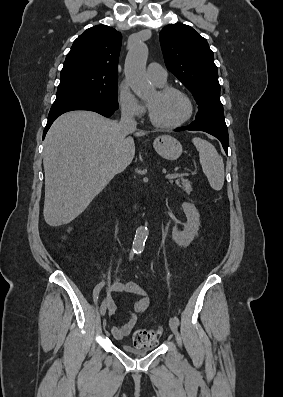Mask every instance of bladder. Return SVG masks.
I'll return each mask as SVG.
<instances>
[{
  "label": "bladder",
  "instance_id": "bladder-1",
  "mask_svg": "<svg viewBox=\"0 0 283 397\" xmlns=\"http://www.w3.org/2000/svg\"><path fill=\"white\" fill-rule=\"evenodd\" d=\"M157 344L154 343L148 347H133L131 345L128 344H123L121 345V349L125 352L128 353L130 355H134V356H143L146 355L147 353H150L151 351H153L156 348Z\"/></svg>",
  "mask_w": 283,
  "mask_h": 397
}]
</instances>
